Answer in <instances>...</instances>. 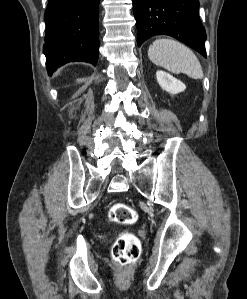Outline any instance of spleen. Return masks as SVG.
I'll use <instances>...</instances> for the list:
<instances>
[{
  "instance_id": "spleen-1",
  "label": "spleen",
  "mask_w": 247,
  "mask_h": 299,
  "mask_svg": "<svg viewBox=\"0 0 247 299\" xmlns=\"http://www.w3.org/2000/svg\"><path fill=\"white\" fill-rule=\"evenodd\" d=\"M149 59L172 73H184L202 79L203 71L196 55L185 45L171 39L155 40L148 49Z\"/></svg>"
}]
</instances>
